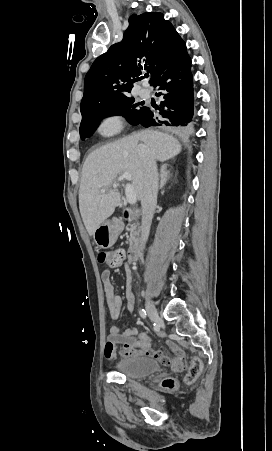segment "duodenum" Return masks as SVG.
Here are the masks:
<instances>
[{
    "mask_svg": "<svg viewBox=\"0 0 272 451\" xmlns=\"http://www.w3.org/2000/svg\"><path fill=\"white\" fill-rule=\"evenodd\" d=\"M136 215V212L126 209L124 211V217L126 219H131ZM139 257V247L137 245H132L129 249H128V258L131 261H135L137 260Z\"/></svg>",
    "mask_w": 272,
    "mask_h": 451,
    "instance_id": "duodenum-1",
    "label": "duodenum"
}]
</instances>
